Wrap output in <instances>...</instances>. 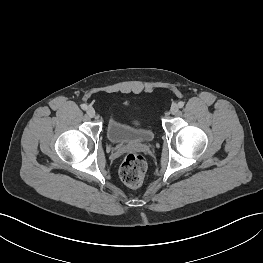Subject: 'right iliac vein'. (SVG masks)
Masks as SVG:
<instances>
[{"instance_id": "1", "label": "right iliac vein", "mask_w": 263, "mask_h": 263, "mask_svg": "<svg viewBox=\"0 0 263 263\" xmlns=\"http://www.w3.org/2000/svg\"><path fill=\"white\" fill-rule=\"evenodd\" d=\"M86 112H87V115H88L89 117H91V118L94 117L95 114H96V112H95V110H94L93 107H88L87 110H86Z\"/></svg>"}]
</instances>
